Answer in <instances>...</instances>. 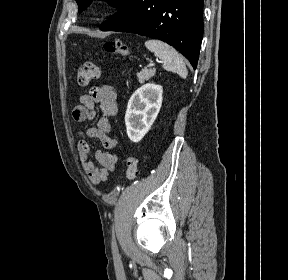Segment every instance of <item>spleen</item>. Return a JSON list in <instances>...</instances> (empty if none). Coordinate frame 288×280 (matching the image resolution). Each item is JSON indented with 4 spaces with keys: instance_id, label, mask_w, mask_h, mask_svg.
<instances>
[{
    "instance_id": "3e777b00",
    "label": "spleen",
    "mask_w": 288,
    "mask_h": 280,
    "mask_svg": "<svg viewBox=\"0 0 288 280\" xmlns=\"http://www.w3.org/2000/svg\"><path fill=\"white\" fill-rule=\"evenodd\" d=\"M145 46L162 60L165 70L175 72L184 79L187 77L188 71L183 59L173 47L156 39L147 40Z\"/></svg>"
}]
</instances>
